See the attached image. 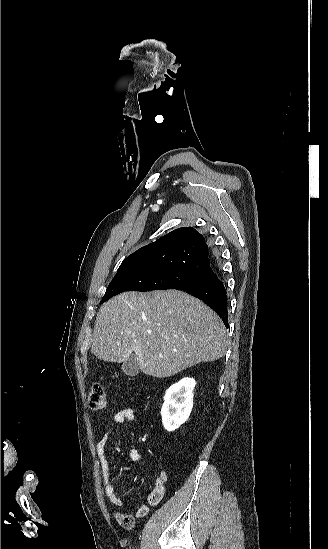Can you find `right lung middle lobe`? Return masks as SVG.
I'll list each match as a JSON object with an SVG mask.
<instances>
[{
  "label": "right lung middle lobe",
  "mask_w": 328,
  "mask_h": 549,
  "mask_svg": "<svg viewBox=\"0 0 328 549\" xmlns=\"http://www.w3.org/2000/svg\"><path fill=\"white\" fill-rule=\"evenodd\" d=\"M205 282L207 278L179 269L157 267L125 269L117 272L101 303L124 291L183 290Z\"/></svg>",
  "instance_id": "right-lung-middle-lobe-1"
}]
</instances>
